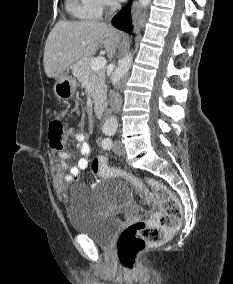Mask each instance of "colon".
I'll return each mask as SVG.
<instances>
[{"label":"colon","instance_id":"1","mask_svg":"<svg viewBox=\"0 0 233 284\" xmlns=\"http://www.w3.org/2000/svg\"><path fill=\"white\" fill-rule=\"evenodd\" d=\"M48 141L52 148L61 150L66 142V129L57 115L48 122ZM91 170L102 179L121 178L132 185L138 194L148 203L158 201L159 211L150 221H138L126 227L117 242L118 258L128 270L136 269L138 255L149 245L162 243L169 233L180 225L181 205L173 192L162 182L146 178L145 181L135 175L117 169L103 156L95 157ZM146 185L151 189L148 191Z\"/></svg>","mask_w":233,"mask_h":284}]
</instances>
